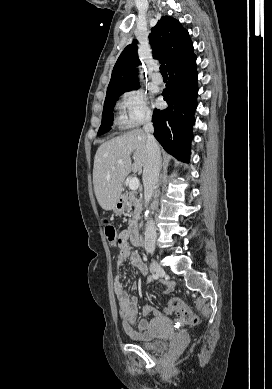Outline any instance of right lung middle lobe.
Listing matches in <instances>:
<instances>
[{
	"label": "right lung middle lobe",
	"mask_w": 272,
	"mask_h": 389,
	"mask_svg": "<svg viewBox=\"0 0 272 389\" xmlns=\"http://www.w3.org/2000/svg\"><path fill=\"white\" fill-rule=\"evenodd\" d=\"M138 88H139V85L106 95L105 102H104V109H103V113H102V123H101V126H100L98 134H97L98 136L106 133L110 129V127L112 126V123L114 120L113 119V108L115 106V102H116L117 98L120 95H122L123 93H125L126 91H130V90L138 89Z\"/></svg>",
	"instance_id": "right-lung-middle-lobe-1"
}]
</instances>
